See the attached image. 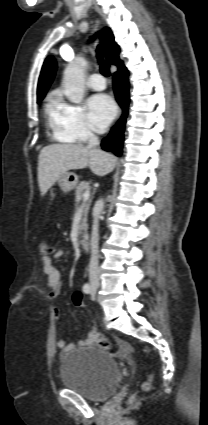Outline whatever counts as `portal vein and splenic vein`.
Here are the masks:
<instances>
[{
	"mask_svg": "<svg viewBox=\"0 0 208 425\" xmlns=\"http://www.w3.org/2000/svg\"><path fill=\"white\" fill-rule=\"evenodd\" d=\"M89 197H90V193H89V191H86L83 195L84 202H86L89 199Z\"/></svg>",
	"mask_w": 208,
	"mask_h": 425,
	"instance_id": "obj_1",
	"label": "portal vein and splenic vein"
}]
</instances>
